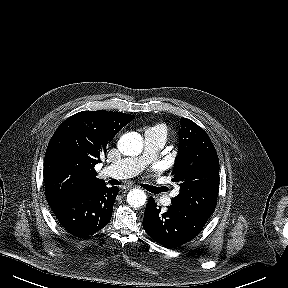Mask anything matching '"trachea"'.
Here are the masks:
<instances>
[{
	"label": "trachea",
	"instance_id": "trachea-1",
	"mask_svg": "<svg viewBox=\"0 0 288 288\" xmlns=\"http://www.w3.org/2000/svg\"><path fill=\"white\" fill-rule=\"evenodd\" d=\"M110 183L113 184V185H118L119 184V182L117 180H115V179L111 180Z\"/></svg>",
	"mask_w": 288,
	"mask_h": 288
}]
</instances>
